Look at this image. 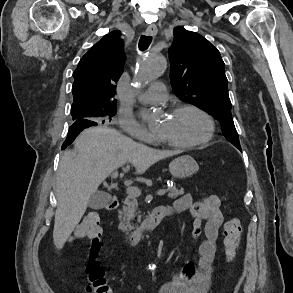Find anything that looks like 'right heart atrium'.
I'll list each match as a JSON object with an SVG mask.
<instances>
[{"instance_id":"1","label":"right heart atrium","mask_w":293,"mask_h":293,"mask_svg":"<svg viewBox=\"0 0 293 293\" xmlns=\"http://www.w3.org/2000/svg\"><path fill=\"white\" fill-rule=\"evenodd\" d=\"M118 125L124 132L135 139L146 143L156 141V136L140 125L127 111H120Z\"/></svg>"}]
</instances>
